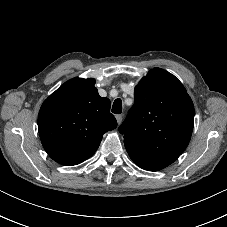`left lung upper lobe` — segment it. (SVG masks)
Listing matches in <instances>:
<instances>
[{
	"label": "left lung upper lobe",
	"mask_w": 227,
	"mask_h": 227,
	"mask_svg": "<svg viewBox=\"0 0 227 227\" xmlns=\"http://www.w3.org/2000/svg\"><path fill=\"white\" fill-rule=\"evenodd\" d=\"M193 125L194 105L182 83L154 68L135 87L134 105L119 132L135 164L159 171L186 149Z\"/></svg>",
	"instance_id": "5c2ea615"
}]
</instances>
